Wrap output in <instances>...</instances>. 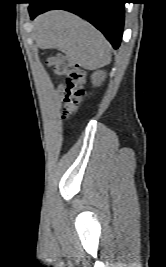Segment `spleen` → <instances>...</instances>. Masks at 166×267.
I'll return each instance as SVG.
<instances>
[{
	"label": "spleen",
	"mask_w": 166,
	"mask_h": 267,
	"mask_svg": "<svg viewBox=\"0 0 166 267\" xmlns=\"http://www.w3.org/2000/svg\"><path fill=\"white\" fill-rule=\"evenodd\" d=\"M37 43L43 48L59 49L90 70L111 61L104 36L88 22L66 11H51L39 19Z\"/></svg>",
	"instance_id": "spleen-1"
}]
</instances>
